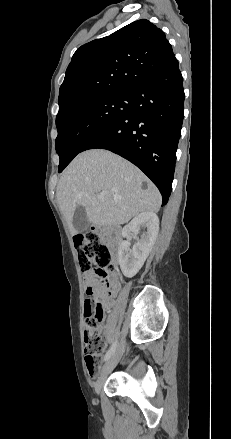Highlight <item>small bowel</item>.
<instances>
[{
    "label": "small bowel",
    "instance_id": "1",
    "mask_svg": "<svg viewBox=\"0 0 231 439\" xmlns=\"http://www.w3.org/2000/svg\"><path fill=\"white\" fill-rule=\"evenodd\" d=\"M84 281L86 284V292L91 290L92 293L98 297L103 306H108L110 304V294L108 292H103L99 286L98 280L93 273H85Z\"/></svg>",
    "mask_w": 231,
    "mask_h": 439
}]
</instances>
